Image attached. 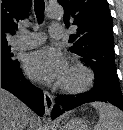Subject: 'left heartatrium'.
<instances>
[{
	"mask_svg": "<svg viewBox=\"0 0 123 130\" xmlns=\"http://www.w3.org/2000/svg\"><path fill=\"white\" fill-rule=\"evenodd\" d=\"M24 68L29 77L40 82H61L67 72L64 56L52 47H43L28 54Z\"/></svg>",
	"mask_w": 123,
	"mask_h": 130,
	"instance_id": "left-heart-atrium-1",
	"label": "left heart atrium"
}]
</instances>
